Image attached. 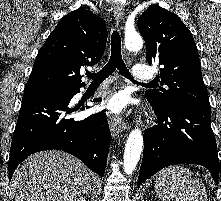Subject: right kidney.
Returning <instances> with one entry per match:
<instances>
[{
  "instance_id": "ca27d5eb",
  "label": "right kidney",
  "mask_w": 221,
  "mask_h": 201,
  "mask_svg": "<svg viewBox=\"0 0 221 201\" xmlns=\"http://www.w3.org/2000/svg\"><path fill=\"white\" fill-rule=\"evenodd\" d=\"M72 201H86V199L83 198V197H82V198L80 197V198L74 199V200H72Z\"/></svg>"
}]
</instances>
